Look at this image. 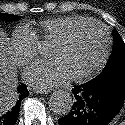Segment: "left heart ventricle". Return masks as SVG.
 Masks as SVG:
<instances>
[{
	"instance_id": "1",
	"label": "left heart ventricle",
	"mask_w": 125,
	"mask_h": 125,
	"mask_svg": "<svg viewBox=\"0 0 125 125\" xmlns=\"http://www.w3.org/2000/svg\"><path fill=\"white\" fill-rule=\"evenodd\" d=\"M105 36L96 25H86L61 44H52L50 56L58 58L70 76L90 71L100 60L104 48Z\"/></svg>"
}]
</instances>
